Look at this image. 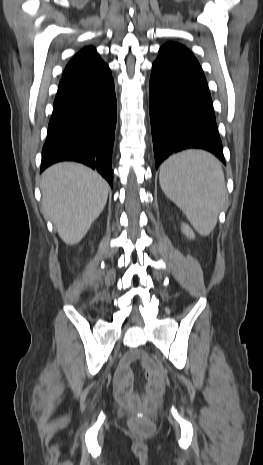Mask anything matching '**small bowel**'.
<instances>
[{
  "instance_id": "c3829d8e",
  "label": "small bowel",
  "mask_w": 263,
  "mask_h": 465,
  "mask_svg": "<svg viewBox=\"0 0 263 465\" xmlns=\"http://www.w3.org/2000/svg\"><path fill=\"white\" fill-rule=\"evenodd\" d=\"M137 358L136 353L127 354L121 361L114 380L115 394L117 398L125 404H129L133 400L139 398L138 395L134 394L132 391V371L130 369V364ZM149 383H158L161 384L159 375L150 371L148 373Z\"/></svg>"
}]
</instances>
